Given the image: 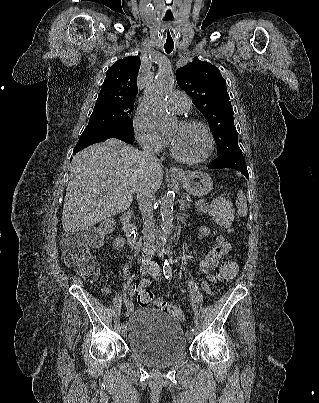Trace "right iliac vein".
Returning a JSON list of instances; mask_svg holds the SVG:
<instances>
[{"label":"right iliac vein","mask_w":319,"mask_h":403,"mask_svg":"<svg viewBox=\"0 0 319 403\" xmlns=\"http://www.w3.org/2000/svg\"><path fill=\"white\" fill-rule=\"evenodd\" d=\"M150 270H151V266L148 265V264H143L142 267H141V273L143 275L148 273ZM121 333H122L123 336L126 335V327L125 326L121 329Z\"/></svg>","instance_id":"1"}]
</instances>
